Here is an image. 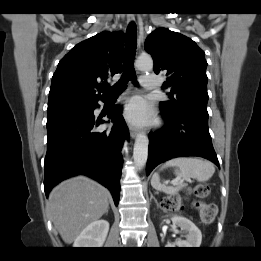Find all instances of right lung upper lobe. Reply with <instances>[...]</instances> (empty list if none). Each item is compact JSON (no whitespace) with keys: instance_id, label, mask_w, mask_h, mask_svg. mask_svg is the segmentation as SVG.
<instances>
[{"instance_id":"cb5924a9","label":"right lung upper lobe","mask_w":261,"mask_h":261,"mask_svg":"<svg viewBox=\"0 0 261 261\" xmlns=\"http://www.w3.org/2000/svg\"><path fill=\"white\" fill-rule=\"evenodd\" d=\"M123 47L121 31H103L75 45L58 64L52 77L49 101L91 102L104 98L107 79L121 72Z\"/></svg>"}]
</instances>
